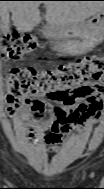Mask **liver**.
<instances>
[{
	"instance_id": "liver-1",
	"label": "liver",
	"mask_w": 104,
	"mask_h": 189,
	"mask_svg": "<svg viewBox=\"0 0 104 189\" xmlns=\"http://www.w3.org/2000/svg\"><path fill=\"white\" fill-rule=\"evenodd\" d=\"M40 1H2L1 29L8 31L5 17L12 12V21L18 32H30L42 18L38 9ZM45 19L51 26L61 29L72 28L79 22L103 9V2L98 1H46Z\"/></svg>"
}]
</instances>
